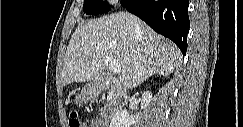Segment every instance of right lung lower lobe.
I'll list each match as a JSON object with an SVG mask.
<instances>
[{
	"mask_svg": "<svg viewBox=\"0 0 243 127\" xmlns=\"http://www.w3.org/2000/svg\"><path fill=\"white\" fill-rule=\"evenodd\" d=\"M121 4L154 31L171 39L185 55L189 31L188 0H122Z\"/></svg>",
	"mask_w": 243,
	"mask_h": 127,
	"instance_id": "1",
	"label": "right lung lower lobe"
}]
</instances>
